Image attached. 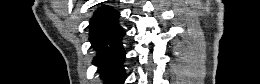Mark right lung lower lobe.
Instances as JSON below:
<instances>
[{
    "label": "right lung lower lobe",
    "instance_id": "obj_1",
    "mask_svg": "<svg viewBox=\"0 0 260 84\" xmlns=\"http://www.w3.org/2000/svg\"><path fill=\"white\" fill-rule=\"evenodd\" d=\"M119 12L103 6L90 21L89 40L97 52L93 60L105 84H123L125 72L122 66L125 52L121 40L125 32L118 24Z\"/></svg>",
    "mask_w": 260,
    "mask_h": 84
}]
</instances>
